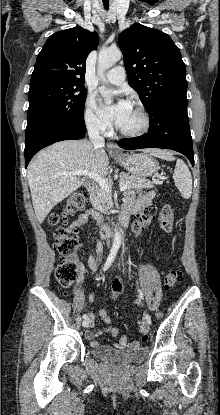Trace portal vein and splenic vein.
<instances>
[{"mask_svg":"<svg viewBox=\"0 0 220 415\" xmlns=\"http://www.w3.org/2000/svg\"><path fill=\"white\" fill-rule=\"evenodd\" d=\"M67 175H73V176H89L90 178H92L93 180H95L100 188H102L105 192L107 193H111V188H112V184L110 181L102 178L101 176L93 173V172H89V171H85V170H77V171H72L69 173H66ZM161 177V176H160ZM127 189V185L126 184H120V190L121 191H125Z\"/></svg>","mask_w":220,"mask_h":415,"instance_id":"portal-vein-and-splenic-vein-1","label":"portal vein and splenic vein"}]
</instances>
